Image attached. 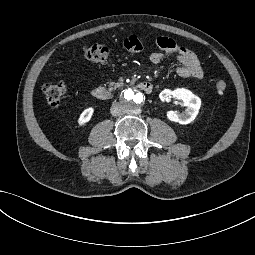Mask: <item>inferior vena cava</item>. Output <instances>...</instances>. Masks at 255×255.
Listing matches in <instances>:
<instances>
[{
	"mask_svg": "<svg viewBox=\"0 0 255 255\" xmlns=\"http://www.w3.org/2000/svg\"><path fill=\"white\" fill-rule=\"evenodd\" d=\"M110 111L113 116H120L125 113V108H123L120 103L114 102L111 106Z\"/></svg>",
	"mask_w": 255,
	"mask_h": 255,
	"instance_id": "inferior-vena-cava-1",
	"label": "inferior vena cava"
}]
</instances>
